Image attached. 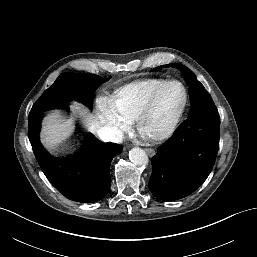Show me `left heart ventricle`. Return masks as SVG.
<instances>
[{"label":"left heart ventricle","instance_id":"obj_1","mask_svg":"<svg viewBox=\"0 0 257 257\" xmlns=\"http://www.w3.org/2000/svg\"><path fill=\"white\" fill-rule=\"evenodd\" d=\"M183 101V91L179 85L168 86L161 94L154 110L144 123L148 133L161 131L170 121Z\"/></svg>","mask_w":257,"mask_h":257}]
</instances>
